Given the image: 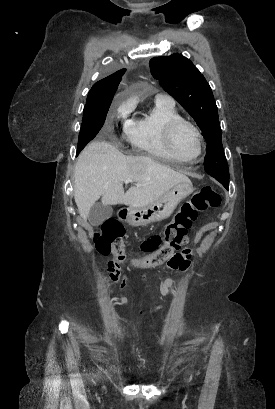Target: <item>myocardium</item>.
I'll list each match as a JSON object with an SVG mask.
<instances>
[{
    "instance_id": "1",
    "label": "myocardium",
    "mask_w": 275,
    "mask_h": 409,
    "mask_svg": "<svg viewBox=\"0 0 275 409\" xmlns=\"http://www.w3.org/2000/svg\"><path fill=\"white\" fill-rule=\"evenodd\" d=\"M182 127H188L194 134L197 144V152L193 157H199L202 152V140L200 132L194 124L185 119L174 120L167 126L165 142L169 154L171 155V157H178L174 151V139L177 131Z\"/></svg>"
}]
</instances>
